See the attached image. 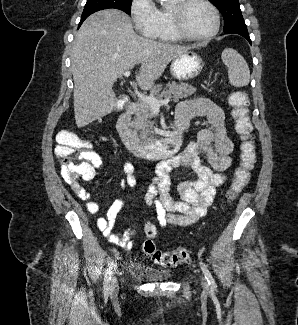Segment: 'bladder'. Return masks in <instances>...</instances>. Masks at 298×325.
I'll list each match as a JSON object with an SVG mask.
<instances>
[{"label":"bladder","mask_w":298,"mask_h":325,"mask_svg":"<svg viewBox=\"0 0 298 325\" xmlns=\"http://www.w3.org/2000/svg\"><path fill=\"white\" fill-rule=\"evenodd\" d=\"M128 272L134 278L145 282L166 281L172 276L171 271L167 269H159L138 260L130 263Z\"/></svg>","instance_id":"31cf9c89"}]
</instances>
